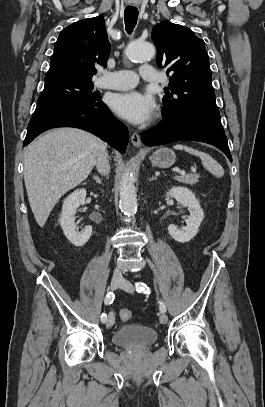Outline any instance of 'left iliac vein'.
<instances>
[{
    "instance_id": "obj_1",
    "label": "left iliac vein",
    "mask_w": 265,
    "mask_h": 407,
    "mask_svg": "<svg viewBox=\"0 0 265 407\" xmlns=\"http://www.w3.org/2000/svg\"><path fill=\"white\" fill-rule=\"evenodd\" d=\"M120 288L127 292H130V293H132L134 291L133 285L128 280H125V279L122 280ZM159 321L161 324H166L168 321V316L164 313L161 314L159 317Z\"/></svg>"
}]
</instances>
